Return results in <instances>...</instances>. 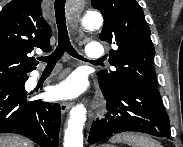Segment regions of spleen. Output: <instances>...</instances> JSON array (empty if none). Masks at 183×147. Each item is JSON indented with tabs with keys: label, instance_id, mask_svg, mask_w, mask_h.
I'll use <instances>...</instances> for the list:
<instances>
[{
	"label": "spleen",
	"instance_id": "obj_1",
	"mask_svg": "<svg viewBox=\"0 0 183 147\" xmlns=\"http://www.w3.org/2000/svg\"><path fill=\"white\" fill-rule=\"evenodd\" d=\"M112 143L123 142L131 147H161L160 143L147 135L123 133L113 136L110 139Z\"/></svg>",
	"mask_w": 183,
	"mask_h": 147
}]
</instances>
